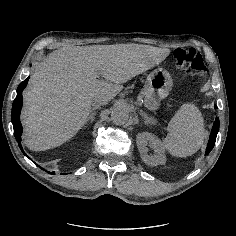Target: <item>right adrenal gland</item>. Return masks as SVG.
Here are the masks:
<instances>
[{"label": "right adrenal gland", "mask_w": 236, "mask_h": 236, "mask_svg": "<svg viewBox=\"0 0 236 236\" xmlns=\"http://www.w3.org/2000/svg\"><path fill=\"white\" fill-rule=\"evenodd\" d=\"M99 108H100L99 106H94V107H93V109H92V111H91V114H90L88 120L91 119V122H93L94 116L96 115V111H95V110H96V109H99Z\"/></svg>", "instance_id": "2a0ac1e0"}]
</instances>
